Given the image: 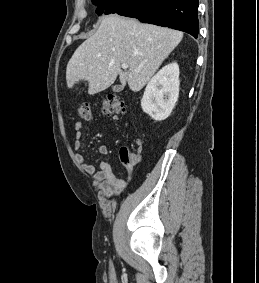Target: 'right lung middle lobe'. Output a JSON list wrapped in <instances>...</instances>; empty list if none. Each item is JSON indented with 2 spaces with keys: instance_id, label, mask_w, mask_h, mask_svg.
<instances>
[{
  "instance_id": "right-lung-middle-lobe-1",
  "label": "right lung middle lobe",
  "mask_w": 259,
  "mask_h": 283,
  "mask_svg": "<svg viewBox=\"0 0 259 283\" xmlns=\"http://www.w3.org/2000/svg\"><path fill=\"white\" fill-rule=\"evenodd\" d=\"M92 1H93V4L100 5L99 8L96 10V13H97V14H102L103 11L105 10V7H104V5H103V1H104V0H92ZM105 11H106V10H105ZM106 14H108V13L106 12Z\"/></svg>"
}]
</instances>
